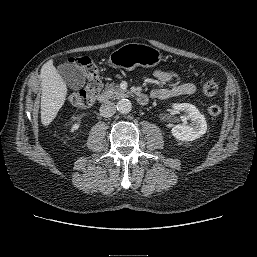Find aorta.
I'll use <instances>...</instances> for the list:
<instances>
[{
    "instance_id": "1",
    "label": "aorta",
    "mask_w": 257,
    "mask_h": 257,
    "mask_svg": "<svg viewBox=\"0 0 257 257\" xmlns=\"http://www.w3.org/2000/svg\"><path fill=\"white\" fill-rule=\"evenodd\" d=\"M116 108L120 113H129L132 109V104L128 99H121L117 102Z\"/></svg>"
}]
</instances>
